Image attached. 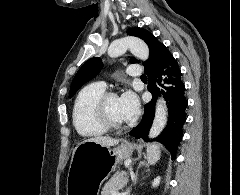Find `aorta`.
<instances>
[{"instance_id":"762f6f07","label":"aorta","mask_w":240,"mask_h":195,"mask_svg":"<svg viewBox=\"0 0 240 195\" xmlns=\"http://www.w3.org/2000/svg\"><path fill=\"white\" fill-rule=\"evenodd\" d=\"M130 50L131 54L139 60H148L149 48L143 40L139 38H122V40H115L108 48V56L110 58H118ZM167 121V107L164 99H157L155 117L153 119L152 127L149 131L150 137H157L163 131Z\"/></svg>"}]
</instances>
